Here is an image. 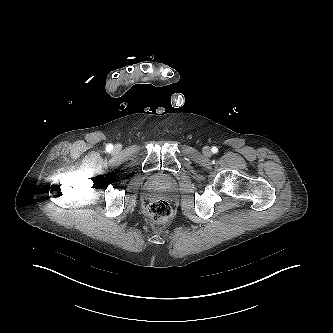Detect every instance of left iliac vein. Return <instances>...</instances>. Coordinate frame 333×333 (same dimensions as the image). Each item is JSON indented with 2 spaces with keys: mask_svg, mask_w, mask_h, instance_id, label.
Instances as JSON below:
<instances>
[{
  "mask_svg": "<svg viewBox=\"0 0 333 333\" xmlns=\"http://www.w3.org/2000/svg\"><path fill=\"white\" fill-rule=\"evenodd\" d=\"M203 154H204L205 156H207V157L211 156V149H210V147L205 146V147L203 148Z\"/></svg>",
  "mask_w": 333,
  "mask_h": 333,
  "instance_id": "1",
  "label": "left iliac vein"
}]
</instances>
